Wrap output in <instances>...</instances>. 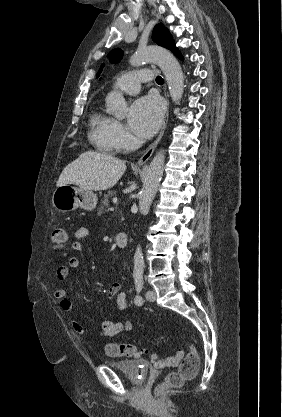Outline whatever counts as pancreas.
<instances>
[{
	"label": "pancreas",
	"mask_w": 282,
	"mask_h": 417,
	"mask_svg": "<svg viewBox=\"0 0 282 417\" xmlns=\"http://www.w3.org/2000/svg\"><path fill=\"white\" fill-rule=\"evenodd\" d=\"M113 194H116V190H108L107 194H104L101 209H103V206H108L109 196H113Z\"/></svg>",
	"instance_id": "cf45deb5"
}]
</instances>
